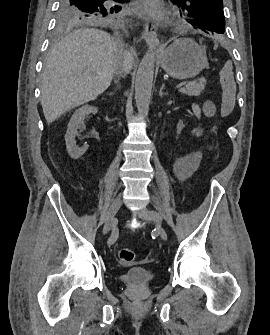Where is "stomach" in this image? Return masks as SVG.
Segmentation results:
<instances>
[{
  "mask_svg": "<svg viewBox=\"0 0 270 335\" xmlns=\"http://www.w3.org/2000/svg\"><path fill=\"white\" fill-rule=\"evenodd\" d=\"M161 68L177 80L194 78L208 68L205 46H199L192 38H178L169 48L160 50Z\"/></svg>",
  "mask_w": 270,
  "mask_h": 335,
  "instance_id": "0dacf381",
  "label": "stomach"
}]
</instances>
